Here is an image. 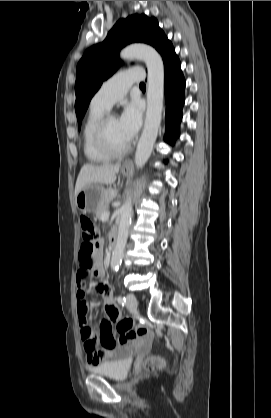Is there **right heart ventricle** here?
<instances>
[{
	"label": "right heart ventricle",
	"instance_id": "right-heart-ventricle-1",
	"mask_svg": "<svg viewBox=\"0 0 271 418\" xmlns=\"http://www.w3.org/2000/svg\"><path fill=\"white\" fill-rule=\"evenodd\" d=\"M108 109L90 106L82 130L83 152L88 161L92 163H103L111 157L99 151L94 143V130L99 120L106 114Z\"/></svg>",
	"mask_w": 271,
	"mask_h": 418
}]
</instances>
